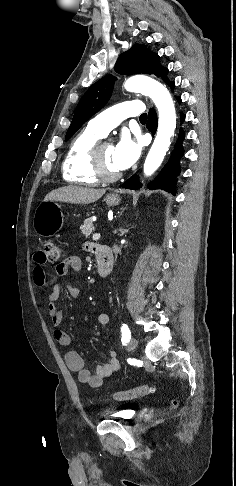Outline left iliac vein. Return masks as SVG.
I'll list each match as a JSON object with an SVG mask.
<instances>
[{"mask_svg":"<svg viewBox=\"0 0 236 486\" xmlns=\"http://www.w3.org/2000/svg\"><path fill=\"white\" fill-rule=\"evenodd\" d=\"M137 345H138V342L135 338H131L130 341L128 342L127 344V349L130 351V352H133L136 350L137 348Z\"/></svg>","mask_w":236,"mask_h":486,"instance_id":"obj_1","label":"left iliac vein"}]
</instances>
